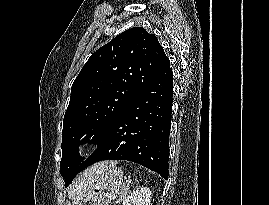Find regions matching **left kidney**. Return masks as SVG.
Masks as SVG:
<instances>
[{"mask_svg": "<svg viewBox=\"0 0 269 205\" xmlns=\"http://www.w3.org/2000/svg\"><path fill=\"white\" fill-rule=\"evenodd\" d=\"M123 205H151V191L149 188H140L128 195Z\"/></svg>", "mask_w": 269, "mask_h": 205, "instance_id": "5707ae66", "label": "left kidney"}]
</instances>
